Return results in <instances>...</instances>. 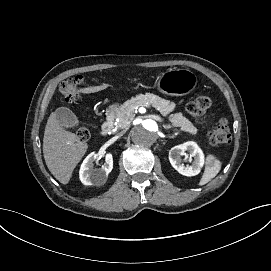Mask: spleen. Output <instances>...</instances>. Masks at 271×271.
<instances>
[{
  "label": "spleen",
  "mask_w": 271,
  "mask_h": 271,
  "mask_svg": "<svg viewBox=\"0 0 271 271\" xmlns=\"http://www.w3.org/2000/svg\"><path fill=\"white\" fill-rule=\"evenodd\" d=\"M222 161L214 154H207L205 157V168L199 181V186H204L212 181L220 172Z\"/></svg>",
  "instance_id": "spleen-1"
}]
</instances>
